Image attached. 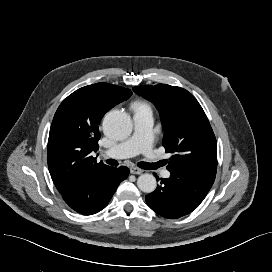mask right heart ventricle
<instances>
[{
	"label": "right heart ventricle",
	"mask_w": 272,
	"mask_h": 272,
	"mask_svg": "<svg viewBox=\"0 0 272 272\" xmlns=\"http://www.w3.org/2000/svg\"><path fill=\"white\" fill-rule=\"evenodd\" d=\"M134 110H151L150 105L145 101H137L133 104Z\"/></svg>",
	"instance_id": "1"
}]
</instances>
